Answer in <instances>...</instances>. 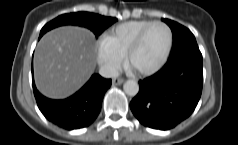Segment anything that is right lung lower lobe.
<instances>
[{
    "label": "right lung lower lobe",
    "mask_w": 238,
    "mask_h": 145,
    "mask_svg": "<svg viewBox=\"0 0 238 145\" xmlns=\"http://www.w3.org/2000/svg\"><path fill=\"white\" fill-rule=\"evenodd\" d=\"M32 86L37 105L53 124L73 130L89 126L98 116L105 92L111 86V79L92 75L90 80L74 95L64 100H52L38 92L33 79Z\"/></svg>",
    "instance_id": "1"
}]
</instances>
